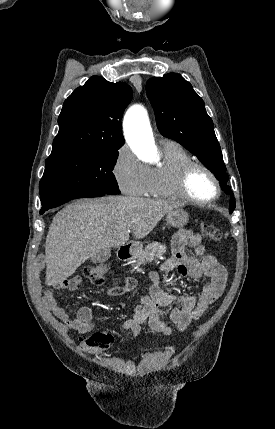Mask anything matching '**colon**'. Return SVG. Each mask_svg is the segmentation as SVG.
I'll return each mask as SVG.
<instances>
[{
  "instance_id": "1",
  "label": "colon",
  "mask_w": 275,
  "mask_h": 429,
  "mask_svg": "<svg viewBox=\"0 0 275 429\" xmlns=\"http://www.w3.org/2000/svg\"><path fill=\"white\" fill-rule=\"evenodd\" d=\"M201 232L205 238L212 242H220L222 239L221 230L212 223H202ZM107 273L108 267L105 264L87 265L83 270L84 277L94 284L102 283ZM112 341L110 334L95 333L80 339V347L88 354L97 355L108 349Z\"/></svg>"
}]
</instances>
